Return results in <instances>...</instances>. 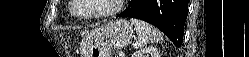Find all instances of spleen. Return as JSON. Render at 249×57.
Listing matches in <instances>:
<instances>
[{
    "mask_svg": "<svg viewBox=\"0 0 249 57\" xmlns=\"http://www.w3.org/2000/svg\"><path fill=\"white\" fill-rule=\"evenodd\" d=\"M130 22L135 26L137 33V40L133 44L135 48H142L149 43H159L164 40L161 32L153 25L136 18H131Z\"/></svg>",
    "mask_w": 249,
    "mask_h": 57,
    "instance_id": "obj_1",
    "label": "spleen"
}]
</instances>
